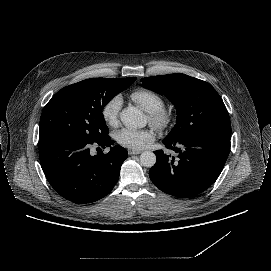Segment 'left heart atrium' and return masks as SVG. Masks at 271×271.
<instances>
[{"mask_svg":"<svg viewBox=\"0 0 271 271\" xmlns=\"http://www.w3.org/2000/svg\"><path fill=\"white\" fill-rule=\"evenodd\" d=\"M154 138L149 129H129L119 130L115 139L119 145L131 150H141L146 147Z\"/></svg>","mask_w":271,"mask_h":271,"instance_id":"left-heart-atrium-1","label":"left heart atrium"}]
</instances>
